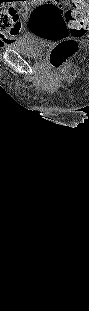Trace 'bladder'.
<instances>
[{
	"instance_id": "31cf9c89",
	"label": "bladder",
	"mask_w": 89,
	"mask_h": 311,
	"mask_svg": "<svg viewBox=\"0 0 89 311\" xmlns=\"http://www.w3.org/2000/svg\"><path fill=\"white\" fill-rule=\"evenodd\" d=\"M8 47L29 58L41 57L44 52V46L30 36H26L14 43H11Z\"/></svg>"
}]
</instances>
